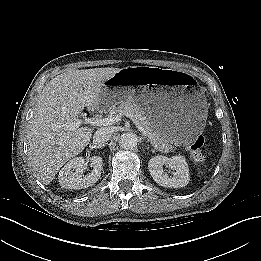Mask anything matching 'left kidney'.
<instances>
[{"label":"left kidney","instance_id":"obj_1","mask_svg":"<svg viewBox=\"0 0 261 261\" xmlns=\"http://www.w3.org/2000/svg\"><path fill=\"white\" fill-rule=\"evenodd\" d=\"M163 166L174 170L173 175L169 176ZM148 169L153 180L163 187H185L190 180L188 164L185 157L181 155L171 158L162 155L155 156L149 160Z\"/></svg>","mask_w":261,"mask_h":261}]
</instances>
